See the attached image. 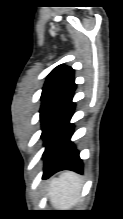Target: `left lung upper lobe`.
<instances>
[{"label":"left lung upper lobe","mask_w":123,"mask_h":219,"mask_svg":"<svg viewBox=\"0 0 123 219\" xmlns=\"http://www.w3.org/2000/svg\"><path fill=\"white\" fill-rule=\"evenodd\" d=\"M75 88L74 70L71 67L59 65L52 70L47 76L41 95L40 119L42 127L57 108L69 98Z\"/></svg>","instance_id":"1"}]
</instances>
